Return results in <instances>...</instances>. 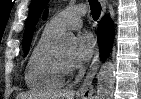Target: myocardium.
<instances>
[{"mask_svg":"<svg viewBox=\"0 0 141 99\" xmlns=\"http://www.w3.org/2000/svg\"><path fill=\"white\" fill-rule=\"evenodd\" d=\"M56 62L64 74L72 70V63L62 60L58 55H56Z\"/></svg>","mask_w":141,"mask_h":99,"instance_id":"myocardium-1","label":"myocardium"}]
</instances>
